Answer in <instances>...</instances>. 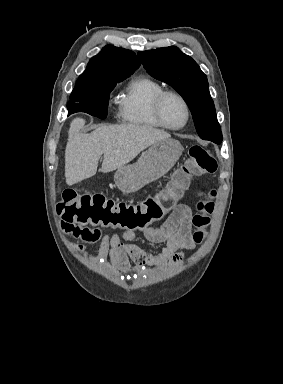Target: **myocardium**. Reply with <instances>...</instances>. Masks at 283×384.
<instances>
[{
	"label": "myocardium",
	"mask_w": 283,
	"mask_h": 384,
	"mask_svg": "<svg viewBox=\"0 0 283 384\" xmlns=\"http://www.w3.org/2000/svg\"><path fill=\"white\" fill-rule=\"evenodd\" d=\"M168 96H175L176 98H178L181 101V103L185 109L186 118H185L184 123L179 127H171V126L167 125L165 123L163 117H162V106H163L164 100ZM151 115H152L154 121L161 128L169 130V131H179V130L185 128L187 126V124L189 123L190 117H191V111H190V107H189L187 100L180 93L173 91V90H164L159 95H157V97L154 99V101L151 105Z\"/></svg>",
	"instance_id": "f54148a6"
}]
</instances>
